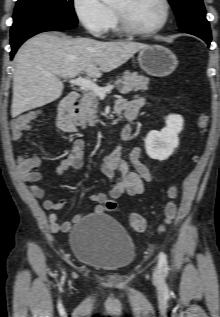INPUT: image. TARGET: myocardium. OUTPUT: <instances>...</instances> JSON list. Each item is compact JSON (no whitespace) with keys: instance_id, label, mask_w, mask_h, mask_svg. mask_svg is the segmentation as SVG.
I'll list each match as a JSON object with an SVG mask.
<instances>
[{"instance_id":"obj_1","label":"myocardium","mask_w":220,"mask_h":317,"mask_svg":"<svg viewBox=\"0 0 220 317\" xmlns=\"http://www.w3.org/2000/svg\"><path fill=\"white\" fill-rule=\"evenodd\" d=\"M161 3L164 7V17L162 21L156 27L146 30H140L133 27L122 11L116 8H112L117 27L126 35L133 37L151 36L160 32L162 29L166 27L171 17V4L169 0H161Z\"/></svg>"}]
</instances>
